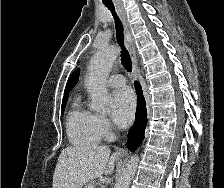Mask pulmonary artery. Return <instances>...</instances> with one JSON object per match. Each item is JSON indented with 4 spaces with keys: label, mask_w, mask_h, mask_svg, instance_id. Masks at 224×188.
I'll return each mask as SVG.
<instances>
[{
    "label": "pulmonary artery",
    "mask_w": 224,
    "mask_h": 188,
    "mask_svg": "<svg viewBox=\"0 0 224 188\" xmlns=\"http://www.w3.org/2000/svg\"><path fill=\"white\" fill-rule=\"evenodd\" d=\"M125 82H126V80H125L124 76L121 74H113L107 80V83L111 87H122L125 85Z\"/></svg>",
    "instance_id": "1"
}]
</instances>
